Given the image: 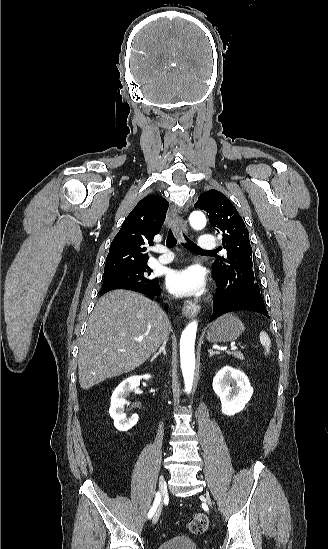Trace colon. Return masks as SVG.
I'll list each match as a JSON object with an SVG mask.
<instances>
[{"mask_svg": "<svg viewBox=\"0 0 328 549\" xmlns=\"http://www.w3.org/2000/svg\"><path fill=\"white\" fill-rule=\"evenodd\" d=\"M208 526V518L203 513L194 514L187 523L188 530L195 535L205 532Z\"/></svg>", "mask_w": 328, "mask_h": 549, "instance_id": "1", "label": "colon"}]
</instances>
